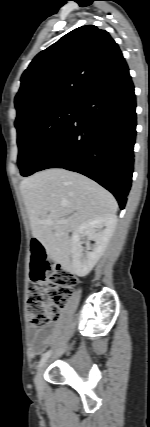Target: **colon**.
<instances>
[{
    "mask_svg": "<svg viewBox=\"0 0 150 427\" xmlns=\"http://www.w3.org/2000/svg\"><path fill=\"white\" fill-rule=\"evenodd\" d=\"M31 279L35 283L28 290L27 312L34 326H46L58 319L70 300L77 278L61 264L50 259L37 239L30 244Z\"/></svg>",
    "mask_w": 150,
    "mask_h": 427,
    "instance_id": "1",
    "label": "colon"
}]
</instances>
